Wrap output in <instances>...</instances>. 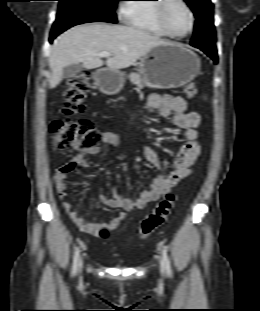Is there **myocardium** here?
Returning a JSON list of instances; mask_svg holds the SVG:
<instances>
[{"label":"myocardium","mask_w":260,"mask_h":311,"mask_svg":"<svg viewBox=\"0 0 260 311\" xmlns=\"http://www.w3.org/2000/svg\"><path fill=\"white\" fill-rule=\"evenodd\" d=\"M169 2H170V0H158L156 3L155 15H156V20H157L160 28L166 33V35H168L172 38L187 37L188 35H190L192 33V31L194 30V27H195V14H194L192 8L190 7V5L185 0H178V2H180L185 7V9L188 11V13L190 15V19H191V24H190L189 30L186 33L175 34L169 29V27L167 26L166 20H165V12H166V8H167V5Z\"/></svg>","instance_id":"myocardium-1"}]
</instances>
